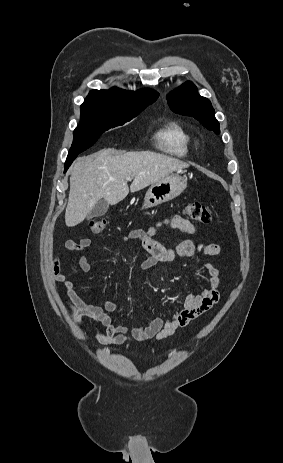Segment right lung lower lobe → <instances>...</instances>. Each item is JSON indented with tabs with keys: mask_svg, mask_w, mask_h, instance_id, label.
<instances>
[{
	"mask_svg": "<svg viewBox=\"0 0 283 463\" xmlns=\"http://www.w3.org/2000/svg\"><path fill=\"white\" fill-rule=\"evenodd\" d=\"M77 155H78V154H77ZM77 155L68 156V157H67L66 162H65L64 172L67 171V169L69 168V166L71 165V163L73 162V160L77 157Z\"/></svg>",
	"mask_w": 283,
	"mask_h": 463,
	"instance_id": "98d812e1",
	"label": "right lung lower lobe"
}]
</instances>
